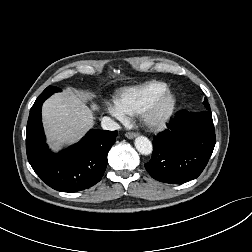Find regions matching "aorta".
Instances as JSON below:
<instances>
[{
    "label": "aorta",
    "instance_id": "762f6f07",
    "mask_svg": "<svg viewBox=\"0 0 252 252\" xmlns=\"http://www.w3.org/2000/svg\"><path fill=\"white\" fill-rule=\"evenodd\" d=\"M135 147L142 155H149L152 153L153 146L151 141L145 136H138L134 141Z\"/></svg>",
    "mask_w": 252,
    "mask_h": 252
}]
</instances>
